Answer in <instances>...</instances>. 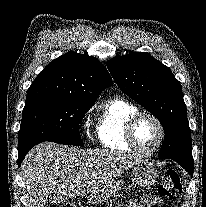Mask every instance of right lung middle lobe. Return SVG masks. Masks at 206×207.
<instances>
[{"mask_svg":"<svg viewBox=\"0 0 206 207\" xmlns=\"http://www.w3.org/2000/svg\"><path fill=\"white\" fill-rule=\"evenodd\" d=\"M92 104L56 98L26 101L19 131L18 152L44 141L84 146L79 124Z\"/></svg>","mask_w":206,"mask_h":207,"instance_id":"right-lung-middle-lobe-1","label":"right lung middle lobe"}]
</instances>
